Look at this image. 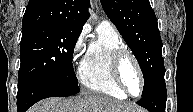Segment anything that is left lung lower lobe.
Listing matches in <instances>:
<instances>
[{
  "instance_id": "0a47b994",
  "label": "left lung lower lobe",
  "mask_w": 193,
  "mask_h": 112,
  "mask_svg": "<svg viewBox=\"0 0 193 112\" xmlns=\"http://www.w3.org/2000/svg\"><path fill=\"white\" fill-rule=\"evenodd\" d=\"M164 74L156 80L151 91L137 102L138 105L150 112H165L167 91Z\"/></svg>"
}]
</instances>
